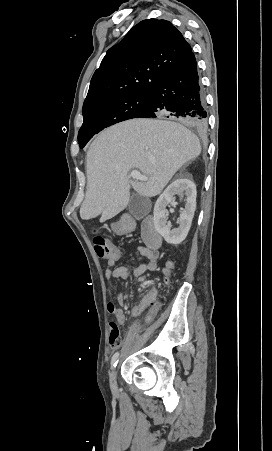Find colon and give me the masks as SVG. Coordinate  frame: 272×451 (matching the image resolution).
Returning <instances> with one entry per match:
<instances>
[{
	"label": "colon",
	"instance_id": "colon-1",
	"mask_svg": "<svg viewBox=\"0 0 272 451\" xmlns=\"http://www.w3.org/2000/svg\"><path fill=\"white\" fill-rule=\"evenodd\" d=\"M93 245L95 252L98 256L103 257L107 254H116L117 250L114 249L116 247V244L114 242H111L108 244L106 240L100 236H95L93 239ZM113 250H111V249ZM108 264L110 266H113L115 264V261L113 259H110L108 261ZM137 269L139 271H146L148 269V264L146 262H139L137 264ZM151 297L154 298L155 294H151ZM108 341L111 347H120L121 341H120V330L119 326L115 321H110L108 323Z\"/></svg>",
	"mask_w": 272,
	"mask_h": 451
}]
</instances>
